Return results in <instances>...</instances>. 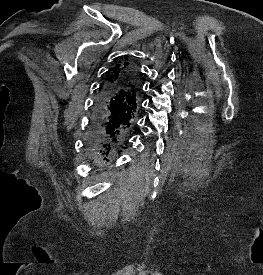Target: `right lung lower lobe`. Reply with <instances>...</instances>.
Listing matches in <instances>:
<instances>
[{
  "label": "right lung lower lobe",
  "instance_id": "right-lung-lower-lobe-1",
  "mask_svg": "<svg viewBox=\"0 0 263 275\" xmlns=\"http://www.w3.org/2000/svg\"><path fill=\"white\" fill-rule=\"evenodd\" d=\"M126 76L136 78L133 68ZM128 91L114 84L99 92L92 109L90 120V142L92 146L104 155H112L126 140L133 127L135 115L125 111V101Z\"/></svg>",
  "mask_w": 263,
  "mask_h": 275
}]
</instances>
